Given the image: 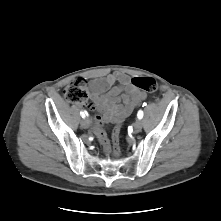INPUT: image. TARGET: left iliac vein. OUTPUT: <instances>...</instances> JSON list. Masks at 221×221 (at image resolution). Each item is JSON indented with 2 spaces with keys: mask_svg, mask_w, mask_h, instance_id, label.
<instances>
[{
  "mask_svg": "<svg viewBox=\"0 0 221 221\" xmlns=\"http://www.w3.org/2000/svg\"><path fill=\"white\" fill-rule=\"evenodd\" d=\"M133 128H134V132L135 133H139L142 130V121L140 119H138L134 123Z\"/></svg>",
  "mask_w": 221,
  "mask_h": 221,
  "instance_id": "obj_1",
  "label": "left iliac vein"
}]
</instances>
